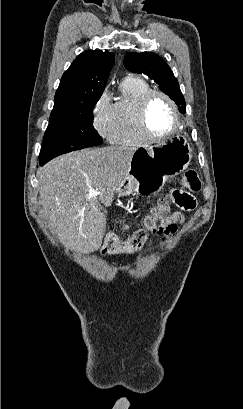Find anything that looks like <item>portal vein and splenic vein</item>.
I'll list each match as a JSON object with an SVG mask.
<instances>
[{
  "label": "portal vein and splenic vein",
  "instance_id": "1",
  "mask_svg": "<svg viewBox=\"0 0 243 409\" xmlns=\"http://www.w3.org/2000/svg\"><path fill=\"white\" fill-rule=\"evenodd\" d=\"M98 194H99V192L96 191L95 189H93V188H90V189H89V195H90L91 197L96 196V195H98Z\"/></svg>",
  "mask_w": 243,
  "mask_h": 409
}]
</instances>
